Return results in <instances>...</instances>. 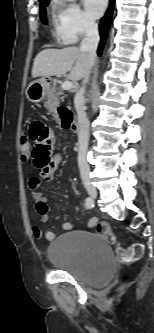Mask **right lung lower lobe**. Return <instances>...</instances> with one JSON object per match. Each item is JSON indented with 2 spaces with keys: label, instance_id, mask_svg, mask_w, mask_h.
<instances>
[{
  "label": "right lung lower lobe",
  "instance_id": "1",
  "mask_svg": "<svg viewBox=\"0 0 154 333\" xmlns=\"http://www.w3.org/2000/svg\"><path fill=\"white\" fill-rule=\"evenodd\" d=\"M115 0H110V6H109V10L107 11L106 15L101 19L100 21V37H101V41L98 47V55L100 56L102 53V49L103 46L105 44L106 41V37L108 34V29H109V25H110V21H111V15H112V11H113V4H114Z\"/></svg>",
  "mask_w": 154,
  "mask_h": 333
}]
</instances>
